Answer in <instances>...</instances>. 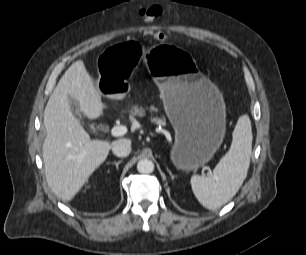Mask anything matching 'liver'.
I'll use <instances>...</instances> for the list:
<instances>
[{
  "label": "liver",
  "instance_id": "6515ba94",
  "mask_svg": "<svg viewBox=\"0 0 306 255\" xmlns=\"http://www.w3.org/2000/svg\"><path fill=\"white\" fill-rule=\"evenodd\" d=\"M101 96L84 62L78 60L61 77L45 107V174L48 185L63 201L74 198L115 142L91 140L72 112L70 97L87 118L100 117L105 107Z\"/></svg>",
  "mask_w": 306,
  "mask_h": 255
}]
</instances>
